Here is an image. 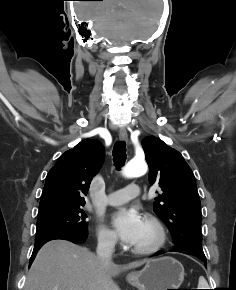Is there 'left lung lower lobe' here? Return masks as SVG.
<instances>
[{"label": "left lung lower lobe", "mask_w": 236, "mask_h": 290, "mask_svg": "<svg viewBox=\"0 0 236 290\" xmlns=\"http://www.w3.org/2000/svg\"><path fill=\"white\" fill-rule=\"evenodd\" d=\"M170 251H171V252H180V253H184V254H191V255H194V256H196L197 258H199L201 261H203V262L205 263V265H207V264H206V257L200 256V255L196 254L195 252L190 251V250H188V249H185V248L180 247V248H173V249L170 250ZM163 253H164V251H158V252L156 253V255H160V254H163Z\"/></svg>", "instance_id": "left-lung-lower-lobe-1"}]
</instances>
